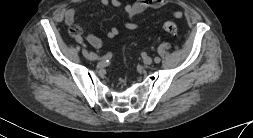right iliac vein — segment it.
Segmentation results:
<instances>
[{"label":"right iliac vein","mask_w":253,"mask_h":138,"mask_svg":"<svg viewBox=\"0 0 253 138\" xmlns=\"http://www.w3.org/2000/svg\"><path fill=\"white\" fill-rule=\"evenodd\" d=\"M82 54L90 60H95V58L91 57L90 53L86 49H82Z\"/></svg>","instance_id":"obj_1"}]
</instances>
